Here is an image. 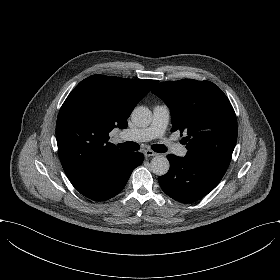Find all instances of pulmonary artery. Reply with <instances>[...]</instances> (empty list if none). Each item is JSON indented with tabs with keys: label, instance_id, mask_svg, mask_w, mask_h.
Segmentation results:
<instances>
[{
	"label": "pulmonary artery",
	"instance_id": "obj_1",
	"mask_svg": "<svg viewBox=\"0 0 280 280\" xmlns=\"http://www.w3.org/2000/svg\"><path fill=\"white\" fill-rule=\"evenodd\" d=\"M169 120V107L167 105H156L153 107L152 119L148 127L126 130L125 132L144 142L160 138L164 144L169 146L174 154L179 157H184L187 154V148L184 145L172 144L165 137Z\"/></svg>",
	"mask_w": 280,
	"mask_h": 280
}]
</instances>
